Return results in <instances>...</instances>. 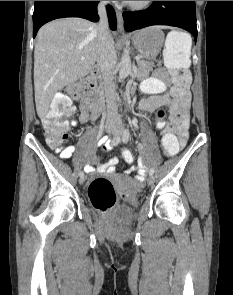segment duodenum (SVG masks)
Masks as SVG:
<instances>
[{
  "label": "duodenum",
  "instance_id": "obj_1",
  "mask_svg": "<svg viewBox=\"0 0 233 295\" xmlns=\"http://www.w3.org/2000/svg\"><path fill=\"white\" fill-rule=\"evenodd\" d=\"M99 69L93 68L86 78L85 93L82 99L83 105L88 108L92 115H97L100 112L102 97L97 86Z\"/></svg>",
  "mask_w": 233,
  "mask_h": 295
}]
</instances>
